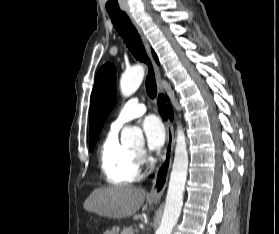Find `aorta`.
Instances as JSON below:
<instances>
[{
  "label": "aorta",
  "instance_id": "aorta-1",
  "mask_svg": "<svg viewBox=\"0 0 279 234\" xmlns=\"http://www.w3.org/2000/svg\"><path fill=\"white\" fill-rule=\"evenodd\" d=\"M144 78V68L136 65L126 70L120 79V89L123 96L128 97L135 93ZM143 140L140 129L125 127L121 133V143L130 147ZM188 151L185 134L181 126L177 128L175 156L170 175L165 209L161 224L155 234H171L181 213L183 192L187 179Z\"/></svg>",
  "mask_w": 279,
  "mask_h": 234
}]
</instances>
